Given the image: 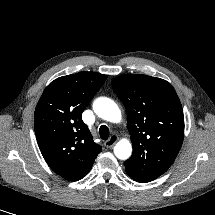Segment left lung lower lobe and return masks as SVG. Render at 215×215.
Returning a JSON list of instances; mask_svg holds the SVG:
<instances>
[{
  "label": "left lung lower lobe",
  "mask_w": 215,
  "mask_h": 215,
  "mask_svg": "<svg viewBox=\"0 0 215 215\" xmlns=\"http://www.w3.org/2000/svg\"><path fill=\"white\" fill-rule=\"evenodd\" d=\"M126 172H127V174H128L132 179H134V180L137 181V182H141V183L149 182L148 180L140 179V178L134 176L132 173H130V172H128V171H126Z\"/></svg>",
  "instance_id": "obj_1"
}]
</instances>
